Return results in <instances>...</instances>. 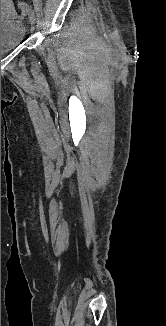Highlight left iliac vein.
Here are the masks:
<instances>
[{"label": "left iliac vein", "mask_w": 166, "mask_h": 326, "mask_svg": "<svg viewBox=\"0 0 166 326\" xmlns=\"http://www.w3.org/2000/svg\"><path fill=\"white\" fill-rule=\"evenodd\" d=\"M28 19H29V22L32 25L35 24V22H36V15H35V12L32 9H29L28 10Z\"/></svg>", "instance_id": "left-iliac-vein-1"}]
</instances>
